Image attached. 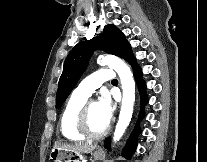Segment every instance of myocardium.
<instances>
[{"label": "myocardium", "instance_id": "obj_1", "mask_svg": "<svg viewBox=\"0 0 207 162\" xmlns=\"http://www.w3.org/2000/svg\"><path fill=\"white\" fill-rule=\"evenodd\" d=\"M97 103L95 100H87L80 108L76 117V129L86 138L98 139L106 135L110 129L108 124L103 130L95 133L92 132L88 126V113L92 104Z\"/></svg>", "mask_w": 207, "mask_h": 162}]
</instances>
